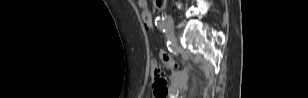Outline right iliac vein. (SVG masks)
<instances>
[{
	"label": "right iliac vein",
	"mask_w": 308,
	"mask_h": 98,
	"mask_svg": "<svg viewBox=\"0 0 308 98\" xmlns=\"http://www.w3.org/2000/svg\"><path fill=\"white\" fill-rule=\"evenodd\" d=\"M166 29H167V34L171 39L174 38V27H173V19L171 16H167L166 18Z\"/></svg>",
	"instance_id": "obj_1"
}]
</instances>
